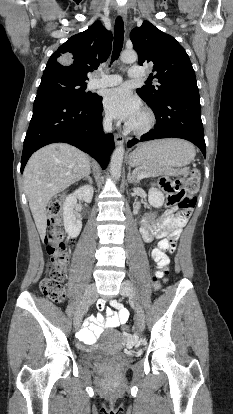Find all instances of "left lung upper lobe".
<instances>
[{
    "instance_id": "left-lung-upper-lobe-1",
    "label": "left lung upper lobe",
    "mask_w": 233,
    "mask_h": 414,
    "mask_svg": "<svg viewBox=\"0 0 233 414\" xmlns=\"http://www.w3.org/2000/svg\"><path fill=\"white\" fill-rule=\"evenodd\" d=\"M130 39L138 53V62L153 64L158 86H143L136 91L152 108L159 107L173 95L198 92L195 72L184 48L172 36L160 31L150 22L131 31Z\"/></svg>"
}]
</instances>
